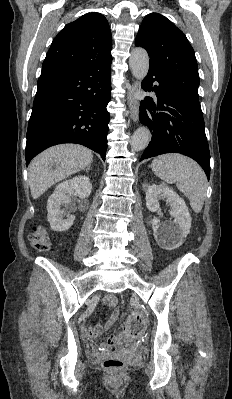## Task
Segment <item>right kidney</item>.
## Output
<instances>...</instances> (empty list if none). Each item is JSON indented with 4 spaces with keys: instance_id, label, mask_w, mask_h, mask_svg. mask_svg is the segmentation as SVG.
<instances>
[{
    "instance_id": "right-kidney-1",
    "label": "right kidney",
    "mask_w": 232,
    "mask_h": 399,
    "mask_svg": "<svg viewBox=\"0 0 232 399\" xmlns=\"http://www.w3.org/2000/svg\"><path fill=\"white\" fill-rule=\"evenodd\" d=\"M92 184L86 176H76L72 180H66L59 186H56L54 194L47 201V219L55 231H66L71 227L75 215H67L66 211L61 209L62 205L69 203L71 196L77 194L80 200H85L90 196Z\"/></svg>"
}]
</instances>
